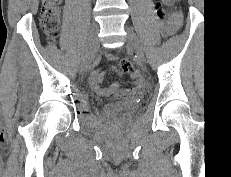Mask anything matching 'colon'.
<instances>
[{"label":"colon","instance_id":"obj_1","mask_svg":"<svg viewBox=\"0 0 231 177\" xmlns=\"http://www.w3.org/2000/svg\"><path fill=\"white\" fill-rule=\"evenodd\" d=\"M41 18L40 25L41 28L50 42H53L59 33L60 27V10L59 4L61 0H41ZM168 3H172L175 0H165ZM159 17L162 21L165 20V16L162 10L158 11ZM178 21V17H175ZM118 69L121 72L128 73L133 70L132 62L127 58H122L119 60Z\"/></svg>","mask_w":231,"mask_h":177}]
</instances>
